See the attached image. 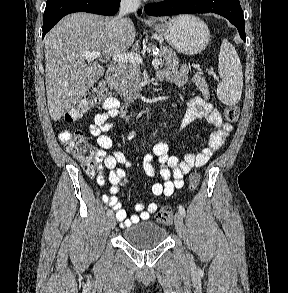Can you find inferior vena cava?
<instances>
[{
    "mask_svg": "<svg viewBox=\"0 0 288 293\" xmlns=\"http://www.w3.org/2000/svg\"><path fill=\"white\" fill-rule=\"evenodd\" d=\"M140 0H121L119 13L116 17L118 22L124 21V16L128 13L137 11Z\"/></svg>",
    "mask_w": 288,
    "mask_h": 293,
    "instance_id": "1",
    "label": "inferior vena cava"
}]
</instances>
